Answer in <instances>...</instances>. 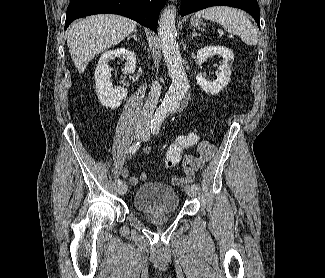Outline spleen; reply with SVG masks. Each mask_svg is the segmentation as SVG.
Returning <instances> with one entry per match:
<instances>
[{"label":"spleen","instance_id":"3e777b00","mask_svg":"<svg viewBox=\"0 0 325 278\" xmlns=\"http://www.w3.org/2000/svg\"><path fill=\"white\" fill-rule=\"evenodd\" d=\"M195 16L218 22L227 32L238 35L247 45L254 46L258 43L257 29L241 11L235 8L214 6L198 11Z\"/></svg>","mask_w":325,"mask_h":278}]
</instances>
